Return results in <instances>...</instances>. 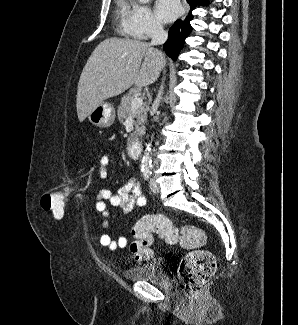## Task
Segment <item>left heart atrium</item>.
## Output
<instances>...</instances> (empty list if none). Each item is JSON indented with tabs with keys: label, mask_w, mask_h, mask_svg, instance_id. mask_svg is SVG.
I'll return each mask as SVG.
<instances>
[{
	"label": "left heart atrium",
	"mask_w": 298,
	"mask_h": 325,
	"mask_svg": "<svg viewBox=\"0 0 298 325\" xmlns=\"http://www.w3.org/2000/svg\"><path fill=\"white\" fill-rule=\"evenodd\" d=\"M181 12L178 0H158L156 3V16L161 23L175 20Z\"/></svg>",
	"instance_id": "obj_1"
}]
</instances>
